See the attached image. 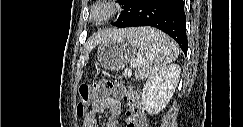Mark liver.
<instances>
[{
  "instance_id": "1",
  "label": "liver",
  "mask_w": 243,
  "mask_h": 127,
  "mask_svg": "<svg viewBox=\"0 0 243 127\" xmlns=\"http://www.w3.org/2000/svg\"><path fill=\"white\" fill-rule=\"evenodd\" d=\"M134 31V29H114L98 32L88 40L87 49L91 50L98 44H103L105 42L126 38L128 35H131Z\"/></svg>"
}]
</instances>
